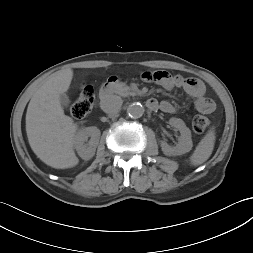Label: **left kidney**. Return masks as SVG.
Segmentation results:
<instances>
[{"label":"left kidney","mask_w":253,"mask_h":253,"mask_svg":"<svg viewBox=\"0 0 253 253\" xmlns=\"http://www.w3.org/2000/svg\"><path fill=\"white\" fill-rule=\"evenodd\" d=\"M169 124L180 131L181 136L176 146H169L166 142H161V149L167 156H176L189 152L192 149L193 143L191 132L186 127L185 123L179 118H171Z\"/></svg>","instance_id":"5707ae66"}]
</instances>
